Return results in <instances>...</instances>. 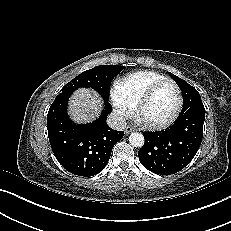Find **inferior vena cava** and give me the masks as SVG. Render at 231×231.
<instances>
[{
  "instance_id": "602c4592",
  "label": "inferior vena cava",
  "mask_w": 231,
  "mask_h": 231,
  "mask_svg": "<svg viewBox=\"0 0 231 231\" xmlns=\"http://www.w3.org/2000/svg\"><path fill=\"white\" fill-rule=\"evenodd\" d=\"M107 124L114 130L122 131L126 128L127 121L120 114L113 112L108 116Z\"/></svg>"
}]
</instances>
